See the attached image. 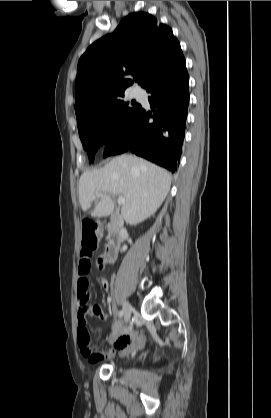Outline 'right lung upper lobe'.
<instances>
[{
    "label": "right lung upper lobe",
    "mask_w": 271,
    "mask_h": 418,
    "mask_svg": "<svg viewBox=\"0 0 271 418\" xmlns=\"http://www.w3.org/2000/svg\"><path fill=\"white\" fill-rule=\"evenodd\" d=\"M172 29L145 12L124 17L117 29L82 55L76 77V116L124 94L133 80L147 90L184 61Z\"/></svg>",
    "instance_id": "right-lung-upper-lobe-1"
}]
</instances>
